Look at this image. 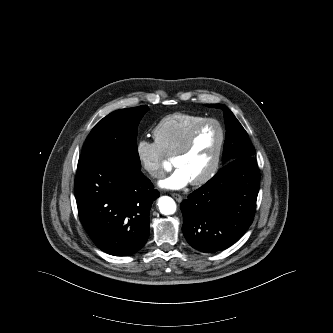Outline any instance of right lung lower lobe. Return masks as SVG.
Instances as JSON below:
<instances>
[{"label":"right lung lower lobe","instance_id":"98d812e1","mask_svg":"<svg viewBox=\"0 0 333 333\" xmlns=\"http://www.w3.org/2000/svg\"><path fill=\"white\" fill-rule=\"evenodd\" d=\"M75 193L80 221L102 251L126 256L140 250L149 235V212L160 193L123 159H79Z\"/></svg>","mask_w":333,"mask_h":333}]
</instances>
